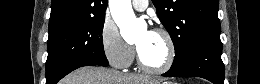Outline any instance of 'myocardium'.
Instances as JSON below:
<instances>
[{
	"label": "myocardium",
	"mask_w": 260,
	"mask_h": 84,
	"mask_svg": "<svg viewBox=\"0 0 260 84\" xmlns=\"http://www.w3.org/2000/svg\"><path fill=\"white\" fill-rule=\"evenodd\" d=\"M152 32L161 35L163 37V39L165 40L167 47H168L167 59L162 66L151 67L143 61L140 51H139L138 47H136L137 62H138L139 67L147 73L157 74V75L164 74L172 68V66L175 62V58H176L175 42H174L172 35L164 28H161V27L155 28Z\"/></svg>",
	"instance_id": "obj_1"
}]
</instances>
